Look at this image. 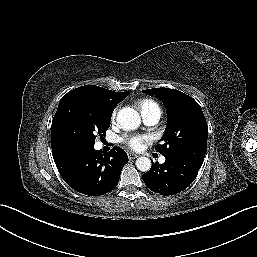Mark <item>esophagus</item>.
I'll list each match as a JSON object with an SVG mask.
<instances>
[{
  "label": "esophagus",
  "instance_id": "obj_1",
  "mask_svg": "<svg viewBox=\"0 0 257 257\" xmlns=\"http://www.w3.org/2000/svg\"><path fill=\"white\" fill-rule=\"evenodd\" d=\"M128 157H129V159H136V158H138V155L135 153L129 152Z\"/></svg>",
  "mask_w": 257,
  "mask_h": 257
}]
</instances>
